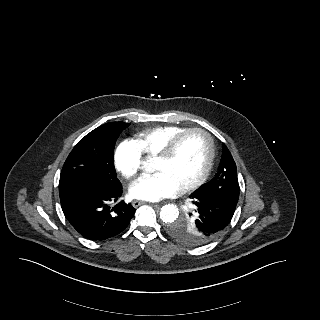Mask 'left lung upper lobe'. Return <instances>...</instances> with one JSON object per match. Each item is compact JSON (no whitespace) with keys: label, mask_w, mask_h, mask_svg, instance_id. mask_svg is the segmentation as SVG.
Instances as JSON below:
<instances>
[{"label":"left lung upper lobe","mask_w":320,"mask_h":320,"mask_svg":"<svg viewBox=\"0 0 320 320\" xmlns=\"http://www.w3.org/2000/svg\"><path fill=\"white\" fill-rule=\"evenodd\" d=\"M197 190L237 204L240 190L237 169L226 145L223 144L222 158L217 175ZM168 233L178 242L190 246L208 242L202 234L198 210L194 204L183 218L169 224Z\"/></svg>","instance_id":"1"}]
</instances>
